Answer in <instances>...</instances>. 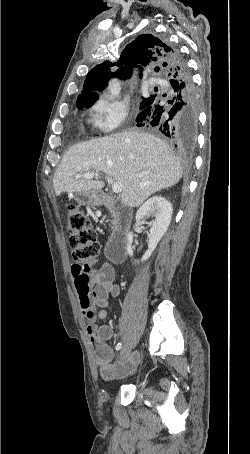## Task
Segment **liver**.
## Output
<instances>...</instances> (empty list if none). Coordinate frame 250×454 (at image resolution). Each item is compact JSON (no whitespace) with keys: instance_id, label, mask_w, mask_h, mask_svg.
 Listing matches in <instances>:
<instances>
[{"instance_id":"obj_1","label":"liver","mask_w":250,"mask_h":454,"mask_svg":"<svg viewBox=\"0 0 250 454\" xmlns=\"http://www.w3.org/2000/svg\"><path fill=\"white\" fill-rule=\"evenodd\" d=\"M90 170L121 182V200L131 207H138L152 194L176 185L183 174L165 140L148 133L124 131L72 146L54 175L56 195L101 190L103 181L75 176Z\"/></svg>"}]
</instances>
